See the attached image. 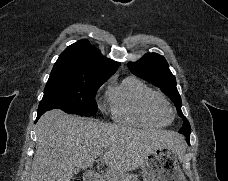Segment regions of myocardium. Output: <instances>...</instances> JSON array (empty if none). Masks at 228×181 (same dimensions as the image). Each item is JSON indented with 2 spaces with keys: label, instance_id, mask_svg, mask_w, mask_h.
Segmentation results:
<instances>
[{
  "label": "myocardium",
  "instance_id": "obj_1",
  "mask_svg": "<svg viewBox=\"0 0 228 181\" xmlns=\"http://www.w3.org/2000/svg\"><path fill=\"white\" fill-rule=\"evenodd\" d=\"M162 104H163V106H165V108H166V103H165V102H163Z\"/></svg>",
  "mask_w": 228,
  "mask_h": 181
}]
</instances>
